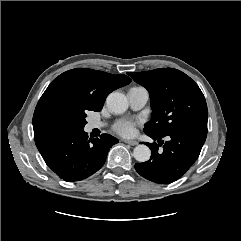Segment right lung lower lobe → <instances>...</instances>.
<instances>
[{"mask_svg": "<svg viewBox=\"0 0 241 241\" xmlns=\"http://www.w3.org/2000/svg\"><path fill=\"white\" fill-rule=\"evenodd\" d=\"M35 143L48 167L64 181L83 180L105 163L118 140L108 134L88 139L84 129H58L35 134Z\"/></svg>", "mask_w": 241, "mask_h": 241, "instance_id": "98d812e1", "label": "right lung lower lobe"}]
</instances>
